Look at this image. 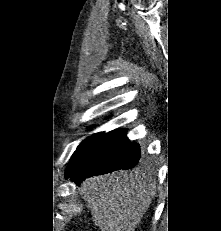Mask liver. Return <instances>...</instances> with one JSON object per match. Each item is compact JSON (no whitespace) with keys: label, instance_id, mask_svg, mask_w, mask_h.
Segmentation results:
<instances>
[{"label":"liver","instance_id":"6515ba94","mask_svg":"<svg viewBox=\"0 0 221 231\" xmlns=\"http://www.w3.org/2000/svg\"><path fill=\"white\" fill-rule=\"evenodd\" d=\"M80 191L101 231H134L155 195L156 184L140 171H118L88 178Z\"/></svg>","mask_w":221,"mask_h":231}]
</instances>
